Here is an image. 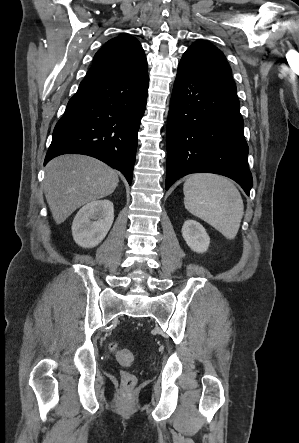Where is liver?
<instances>
[{
  "mask_svg": "<svg viewBox=\"0 0 299 443\" xmlns=\"http://www.w3.org/2000/svg\"><path fill=\"white\" fill-rule=\"evenodd\" d=\"M44 193L56 224L76 209L114 192L119 178L105 163L85 155L66 154L45 168Z\"/></svg>",
  "mask_w": 299,
  "mask_h": 443,
  "instance_id": "obj_1",
  "label": "liver"
}]
</instances>
